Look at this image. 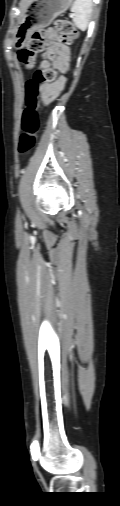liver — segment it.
I'll use <instances>...</instances> for the list:
<instances>
[{
	"instance_id": "1",
	"label": "liver",
	"mask_w": 120,
	"mask_h": 506,
	"mask_svg": "<svg viewBox=\"0 0 120 506\" xmlns=\"http://www.w3.org/2000/svg\"><path fill=\"white\" fill-rule=\"evenodd\" d=\"M33 2V0H21L20 2V9L22 11V14L25 12L27 7Z\"/></svg>"
}]
</instances>
